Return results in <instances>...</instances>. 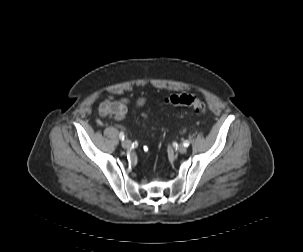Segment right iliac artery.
<instances>
[{"instance_id": "obj_1", "label": "right iliac artery", "mask_w": 303, "mask_h": 252, "mask_svg": "<svg viewBox=\"0 0 303 252\" xmlns=\"http://www.w3.org/2000/svg\"><path fill=\"white\" fill-rule=\"evenodd\" d=\"M119 137H120L121 140H124V133H123V132H120Z\"/></svg>"}]
</instances>
